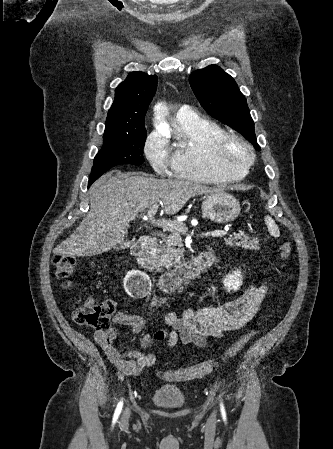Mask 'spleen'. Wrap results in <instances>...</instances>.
Instances as JSON below:
<instances>
[{
	"mask_svg": "<svg viewBox=\"0 0 333 449\" xmlns=\"http://www.w3.org/2000/svg\"><path fill=\"white\" fill-rule=\"evenodd\" d=\"M265 223L268 227L269 232L273 236H279V234H280L279 229H278L275 221L270 216H266Z\"/></svg>",
	"mask_w": 333,
	"mask_h": 449,
	"instance_id": "1",
	"label": "spleen"
}]
</instances>
